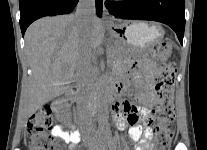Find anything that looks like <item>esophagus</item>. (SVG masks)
I'll list each match as a JSON object with an SVG mask.
<instances>
[{"instance_id":"1","label":"esophagus","mask_w":207,"mask_h":150,"mask_svg":"<svg viewBox=\"0 0 207 150\" xmlns=\"http://www.w3.org/2000/svg\"><path fill=\"white\" fill-rule=\"evenodd\" d=\"M102 20L104 23H112L113 19L111 17V14L109 13L108 9L105 6V0H103V15Z\"/></svg>"}]
</instances>
